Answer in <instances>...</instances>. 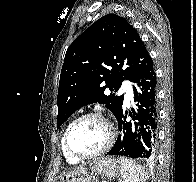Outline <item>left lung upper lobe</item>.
I'll use <instances>...</instances> for the list:
<instances>
[{"mask_svg": "<svg viewBox=\"0 0 196 182\" xmlns=\"http://www.w3.org/2000/svg\"><path fill=\"white\" fill-rule=\"evenodd\" d=\"M149 53L128 21L108 14L93 23L69 46L58 89L57 129L82 106L100 103L117 118L124 96L117 91L122 81L134 82L148 61Z\"/></svg>", "mask_w": 196, "mask_h": 182, "instance_id": "left-lung-upper-lobe-1", "label": "left lung upper lobe"}]
</instances>
